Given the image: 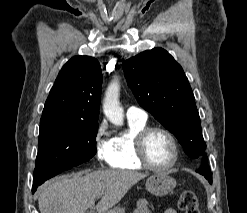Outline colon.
<instances>
[{
    "mask_svg": "<svg viewBox=\"0 0 247 213\" xmlns=\"http://www.w3.org/2000/svg\"><path fill=\"white\" fill-rule=\"evenodd\" d=\"M178 206L183 213H200L197 196L192 190H184L181 193Z\"/></svg>",
    "mask_w": 247,
    "mask_h": 213,
    "instance_id": "colon-1",
    "label": "colon"
}]
</instances>
